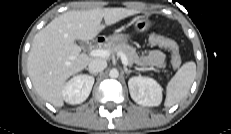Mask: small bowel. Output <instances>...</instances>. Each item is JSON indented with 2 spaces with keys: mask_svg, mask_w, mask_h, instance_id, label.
<instances>
[{
  "mask_svg": "<svg viewBox=\"0 0 231 134\" xmlns=\"http://www.w3.org/2000/svg\"><path fill=\"white\" fill-rule=\"evenodd\" d=\"M136 62L145 67H162L165 54L158 49H150L136 57Z\"/></svg>",
  "mask_w": 231,
  "mask_h": 134,
  "instance_id": "obj_1",
  "label": "small bowel"
}]
</instances>
